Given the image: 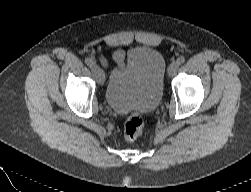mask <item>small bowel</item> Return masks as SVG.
Returning a JSON list of instances; mask_svg holds the SVG:
<instances>
[{
	"label": "small bowel",
	"instance_id": "c3829d8e",
	"mask_svg": "<svg viewBox=\"0 0 251 192\" xmlns=\"http://www.w3.org/2000/svg\"><path fill=\"white\" fill-rule=\"evenodd\" d=\"M124 58H125V55L122 50H116L113 54V59L120 68L124 66Z\"/></svg>",
	"mask_w": 251,
	"mask_h": 192
}]
</instances>
